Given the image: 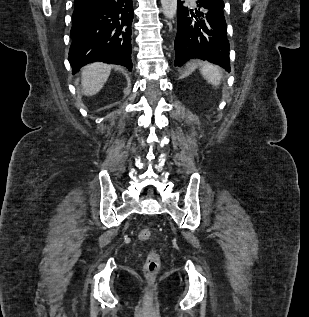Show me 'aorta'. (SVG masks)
Returning <instances> with one entry per match:
<instances>
[{"instance_id": "762f6f07", "label": "aorta", "mask_w": 309, "mask_h": 317, "mask_svg": "<svg viewBox=\"0 0 309 317\" xmlns=\"http://www.w3.org/2000/svg\"><path fill=\"white\" fill-rule=\"evenodd\" d=\"M163 14L167 18H173L177 11V0H161Z\"/></svg>"}]
</instances>
